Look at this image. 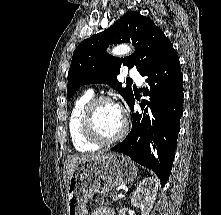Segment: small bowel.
<instances>
[{"instance_id":"1","label":"small bowel","mask_w":221,"mask_h":215,"mask_svg":"<svg viewBox=\"0 0 221 215\" xmlns=\"http://www.w3.org/2000/svg\"><path fill=\"white\" fill-rule=\"evenodd\" d=\"M92 215H114L112 210L106 207H99L94 210Z\"/></svg>"}]
</instances>
